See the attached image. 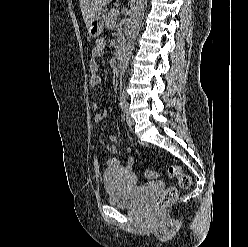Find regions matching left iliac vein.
I'll return each instance as SVG.
<instances>
[{"instance_id":"left-iliac-vein-1","label":"left iliac vein","mask_w":248,"mask_h":247,"mask_svg":"<svg viewBox=\"0 0 248 247\" xmlns=\"http://www.w3.org/2000/svg\"><path fill=\"white\" fill-rule=\"evenodd\" d=\"M126 118H127V122H128L129 125H134V120L131 117V114H130L129 110H127V112H126Z\"/></svg>"}]
</instances>
